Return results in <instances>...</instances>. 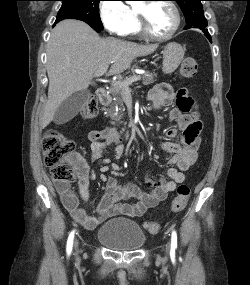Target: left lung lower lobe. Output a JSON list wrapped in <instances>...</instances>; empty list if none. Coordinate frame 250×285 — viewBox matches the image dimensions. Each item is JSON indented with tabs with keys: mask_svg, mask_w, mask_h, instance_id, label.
Wrapping results in <instances>:
<instances>
[{
	"mask_svg": "<svg viewBox=\"0 0 250 285\" xmlns=\"http://www.w3.org/2000/svg\"><path fill=\"white\" fill-rule=\"evenodd\" d=\"M205 36L209 39V41L211 42V36L210 34L208 33V31H205Z\"/></svg>",
	"mask_w": 250,
	"mask_h": 285,
	"instance_id": "0a47b994",
	"label": "left lung lower lobe"
}]
</instances>
